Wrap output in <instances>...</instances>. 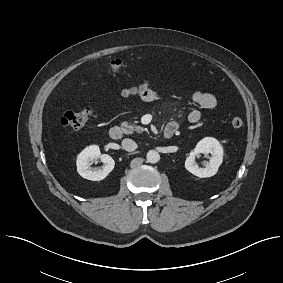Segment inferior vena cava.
Wrapping results in <instances>:
<instances>
[{"label": "inferior vena cava", "instance_id": "inferior-vena-cava-1", "mask_svg": "<svg viewBox=\"0 0 283 283\" xmlns=\"http://www.w3.org/2000/svg\"><path fill=\"white\" fill-rule=\"evenodd\" d=\"M137 147L138 145L132 139L126 138L122 141V148L126 151H134Z\"/></svg>", "mask_w": 283, "mask_h": 283}]
</instances>
